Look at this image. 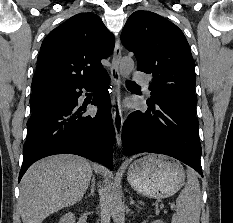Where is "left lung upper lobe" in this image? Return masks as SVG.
Listing matches in <instances>:
<instances>
[{
    "instance_id": "obj_1",
    "label": "left lung upper lobe",
    "mask_w": 233,
    "mask_h": 223,
    "mask_svg": "<svg viewBox=\"0 0 233 223\" xmlns=\"http://www.w3.org/2000/svg\"><path fill=\"white\" fill-rule=\"evenodd\" d=\"M123 45L134 52L138 70L152 74L147 103H181L196 106L195 63L183 32L150 11H136L121 34Z\"/></svg>"
}]
</instances>
